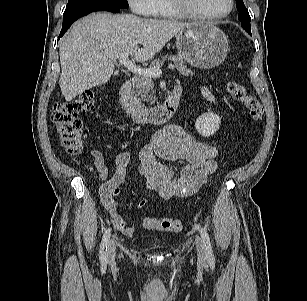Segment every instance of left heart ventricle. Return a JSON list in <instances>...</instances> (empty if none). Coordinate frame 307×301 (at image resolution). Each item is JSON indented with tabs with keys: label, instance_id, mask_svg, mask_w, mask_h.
I'll return each instance as SVG.
<instances>
[{
	"label": "left heart ventricle",
	"instance_id": "1",
	"mask_svg": "<svg viewBox=\"0 0 307 301\" xmlns=\"http://www.w3.org/2000/svg\"><path fill=\"white\" fill-rule=\"evenodd\" d=\"M190 7L201 14L218 15L226 12L230 0H188Z\"/></svg>",
	"mask_w": 307,
	"mask_h": 301
}]
</instances>
